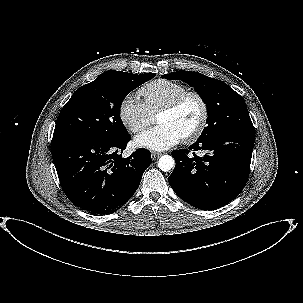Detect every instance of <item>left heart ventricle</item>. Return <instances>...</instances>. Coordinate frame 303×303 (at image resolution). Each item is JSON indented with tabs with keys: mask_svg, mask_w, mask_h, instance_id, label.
Returning a JSON list of instances; mask_svg holds the SVG:
<instances>
[{
	"mask_svg": "<svg viewBox=\"0 0 303 303\" xmlns=\"http://www.w3.org/2000/svg\"><path fill=\"white\" fill-rule=\"evenodd\" d=\"M200 115L201 108L198 101L190 97L174 112L158 114L156 122L170 125L183 137L195 129L200 120Z\"/></svg>",
	"mask_w": 303,
	"mask_h": 303,
	"instance_id": "1",
	"label": "left heart ventricle"
}]
</instances>
